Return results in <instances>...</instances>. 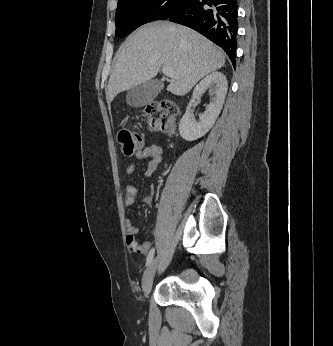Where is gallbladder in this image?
Segmentation results:
<instances>
[{
    "label": "gallbladder",
    "instance_id": "obj_1",
    "mask_svg": "<svg viewBox=\"0 0 333 346\" xmlns=\"http://www.w3.org/2000/svg\"><path fill=\"white\" fill-rule=\"evenodd\" d=\"M162 89V82L159 80H150L130 89L126 94V101L132 107H143L150 103Z\"/></svg>",
    "mask_w": 333,
    "mask_h": 346
}]
</instances>
